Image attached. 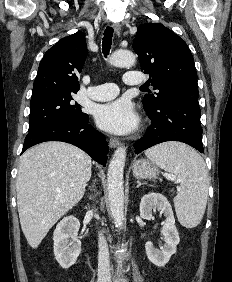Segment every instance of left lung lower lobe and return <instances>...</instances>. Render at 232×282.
<instances>
[{"instance_id":"0a47b994","label":"left lung lower lobe","mask_w":232,"mask_h":282,"mask_svg":"<svg viewBox=\"0 0 232 282\" xmlns=\"http://www.w3.org/2000/svg\"><path fill=\"white\" fill-rule=\"evenodd\" d=\"M144 110L151 125L135 143L136 154L166 141H180L204 152L198 95H172L162 105Z\"/></svg>"}]
</instances>
